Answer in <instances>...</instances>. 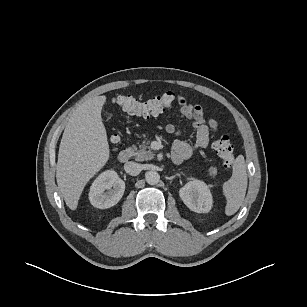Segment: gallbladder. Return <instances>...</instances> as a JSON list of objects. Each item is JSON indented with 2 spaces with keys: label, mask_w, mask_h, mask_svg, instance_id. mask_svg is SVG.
I'll list each match as a JSON object with an SVG mask.
<instances>
[{
  "label": "gallbladder",
  "mask_w": 307,
  "mask_h": 307,
  "mask_svg": "<svg viewBox=\"0 0 307 307\" xmlns=\"http://www.w3.org/2000/svg\"><path fill=\"white\" fill-rule=\"evenodd\" d=\"M106 116H107V118H108V119H110V118H111V115H110V114H108V113H106Z\"/></svg>",
  "instance_id": "bac80fb5"
}]
</instances>
